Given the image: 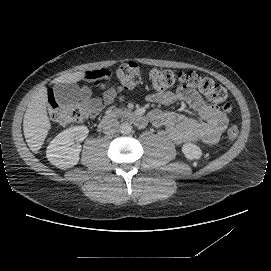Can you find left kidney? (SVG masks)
<instances>
[{
    "mask_svg": "<svg viewBox=\"0 0 271 271\" xmlns=\"http://www.w3.org/2000/svg\"><path fill=\"white\" fill-rule=\"evenodd\" d=\"M182 152L188 160L200 159L202 156L201 149L193 143H185Z\"/></svg>",
    "mask_w": 271,
    "mask_h": 271,
    "instance_id": "obj_1",
    "label": "left kidney"
}]
</instances>
